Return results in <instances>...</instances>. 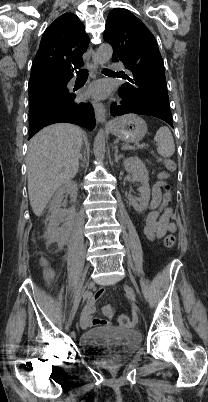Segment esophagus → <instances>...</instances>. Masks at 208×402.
I'll use <instances>...</instances> for the list:
<instances>
[{
	"label": "esophagus",
	"mask_w": 208,
	"mask_h": 402,
	"mask_svg": "<svg viewBox=\"0 0 208 402\" xmlns=\"http://www.w3.org/2000/svg\"><path fill=\"white\" fill-rule=\"evenodd\" d=\"M87 66L92 72H96L97 70L96 53L94 49L91 47L88 50ZM91 103L93 105L97 121L102 124H105L106 126H110L111 125L110 122L106 121V110L104 108V105L96 100H92Z\"/></svg>",
	"instance_id": "1"
}]
</instances>
